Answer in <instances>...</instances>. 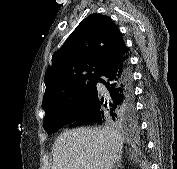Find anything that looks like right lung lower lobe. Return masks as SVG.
Masks as SVG:
<instances>
[{"label": "right lung lower lobe", "instance_id": "1", "mask_svg": "<svg viewBox=\"0 0 177 169\" xmlns=\"http://www.w3.org/2000/svg\"><path fill=\"white\" fill-rule=\"evenodd\" d=\"M106 87L105 92L96 89L91 107L68 123L69 127L79 125H123L135 117L133 77L128 57L106 67L96 78V83Z\"/></svg>", "mask_w": 177, "mask_h": 169}]
</instances>
